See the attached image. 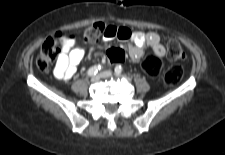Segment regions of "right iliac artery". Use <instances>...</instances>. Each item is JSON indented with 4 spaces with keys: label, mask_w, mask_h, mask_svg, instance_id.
<instances>
[{
    "label": "right iliac artery",
    "mask_w": 225,
    "mask_h": 155,
    "mask_svg": "<svg viewBox=\"0 0 225 155\" xmlns=\"http://www.w3.org/2000/svg\"><path fill=\"white\" fill-rule=\"evenodd\" d=\"M102 69L101 65H95L92 66L91 68H89V70L87 71L88 76H94L98 73V71H100Z\"/></svg>",
    "instance_id": "82829eb1"
}]
</instances>
